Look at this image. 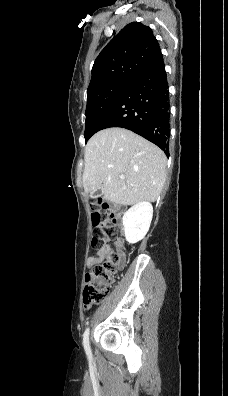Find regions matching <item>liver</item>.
<instances>
[{
  "label": "liver",
  "mask_w": 228,
  "mask_h": 396,
  "mask_svg": "<svg viewBox=\"0 0 228 396\" xmlns=\"http://www.w3.org/2000/svg\"><path fill=\"white\" fill-rule=\"evenodd\" d=\"M84 158L85 192L93 194L100 187L104 198L116 204L155 202L166 180L164 152L123 128L94 134L85 147Z\"/></svg>",
  "instance_id": "obj_1"
}]
</instances>
